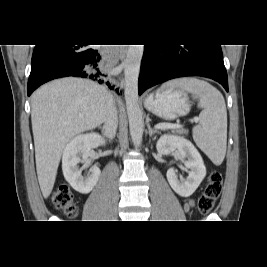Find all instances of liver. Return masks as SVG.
<instances>
[{
    "mask_svg": "<svg viewBox=\"0 0 267 267\" xmlns=\"http://www.w3.org/2000/svg\"><path fill=\"white\" fill-rule=\"evenodd\" d=\"M111 97L105 87L79 78L58 79L33 93L36 171L44 198L53 190L63 149L74 136L105 121Z\"/></svg>",
    "mask_w": 267,
    "mask_h": 267,
    "instance_id": "1",
    "label": "liver"
}]
</instances>
